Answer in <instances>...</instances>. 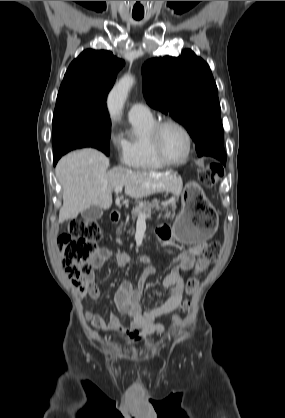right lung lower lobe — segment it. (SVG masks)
Here are the masks:
<instances>
[{"label": "right lung lower lobe", "mask_w": 285, "mask_h": 418, "mask_svg": "<svg viewBox=\"0 0 285 418\" xmlns=\"http://www.w3.org/2000/svg\"><path fill=\"white\" fill-rule=\"evenodd\" d=\"M58 160H59V158L53 159V164L56 165V163H57Z\"/></svg>", "instance_id": "98d812e1"}]
</instances>
